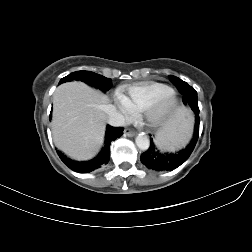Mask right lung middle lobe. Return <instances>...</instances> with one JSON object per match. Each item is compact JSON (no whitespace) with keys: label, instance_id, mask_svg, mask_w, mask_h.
Masks as SVG:
<instances>
[{"label":"right lung middle lobe","instance_id":"right-lung-middle-lobe-1","mask_svg":"<svg viewBox=\"0 0 252 252\" xmlns=\"http://www.w3.org/2000/svg\"><path fill=\"white\" fill-rule=\"evenodd\" d=\"M82 81L88 85L94 86L96 88H99L101 90L108 91L112 87L111 79L106 78L102 75H99L97 73L91 72V71H76L73 72L65 77H63L59 84L69 81Z\"/></svg>","mask_w":252,"mask_h":252}]
</instances>
